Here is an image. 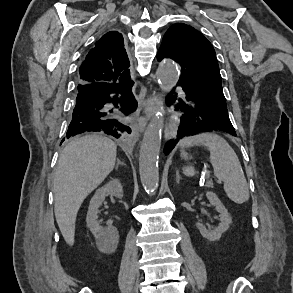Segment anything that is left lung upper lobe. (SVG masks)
<instances>
[{"label":"left lung upper lobe","mask_w":293,"mask_h":293,"mask_svg":"<svg viewBox=\"0 0 293 293\" xmlns=\"http://www.w3.org/2000/svg\"><path fill=\"white\" fill-rule=\"evenodd\" d=\"M165 57L181 65L177 85L206 101L226 106L215 50L199 31L183 23L173 24L165 33L157 54L158 60Z\"/></svg>","instance_id":"5c2ea615"}]
</instances>
